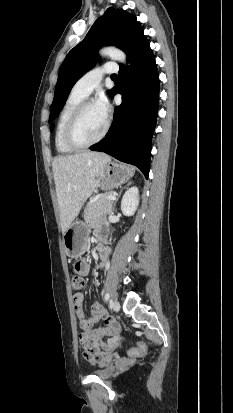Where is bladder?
Segmentation results:
<instances>
[{
	"instance_id": "bladder-1",
	"label": "bladder",
	"mask_w": 233,
	"mask_h": 413,
	"mask_svg": "<svg viewBox=\"0 0 233 413\" xmlns=\"http://www.w3.org/2000/svg\"><path fill=\"white\" fill-rule=\"evenodd\" d=\"M115 372V366L112 363H107L106 365L102 366L101 368L95 370L93 374L100 378H109Z\"/></svg>"
}]
</instances>
